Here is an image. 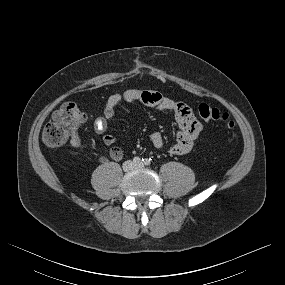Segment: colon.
Instances as JSON below:
<instances>
[{
    "instance_id": "colon-1",
    "label": "colon",
    "mask_w": 285,
    "mask_h": 285,
    "mask_svg": "<svg viewBox=\"0 0 285 285\" xmlns=\"http://www.w3.org/2000/svg\"><path fill=\"white\" fill-rule=\"evenodd\" d=\"M198 114L204 121L224 122L234 135L235 123L228 112L208 104H200ZM85 120V113L75 103L65 102L54 112L51 121L44 127L42 139L50 147L61 146L78 131Z\"/></svg>"
}]
</instances>
